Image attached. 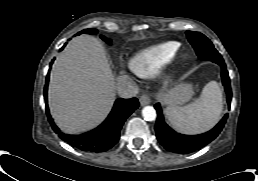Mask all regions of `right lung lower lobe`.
Segmentation results:
<instances>
[{"instance_id": "obj_1", "label": "right lung lower lobe", "mask_w": 258, "mask_h": 181, "mask_svg": "<svg viewBox=\"0 0 258 181\" xmlns=\"http://www.w3.org/2000/svg\"><path fill=\"white\" fill-rule=\"evenodd\" d=\"M66 45V44H65ZM65 45L60 49L62 50ZM54 60L50 63L52 65ZM49 73L46 77V84L44 89V98L47 105V90H48ZM139 106L136 98L131 99H117L114 107L107 117V119L96 129L81 135H67L62 133L54 124L48 108L46 109L48 120L51 123L54 131L59 134V137L70 144L71 146L82 150L91 152H104L112 148L119 140L120 130L125 120L134 110Z\"/></svg>"}]
</instances>
